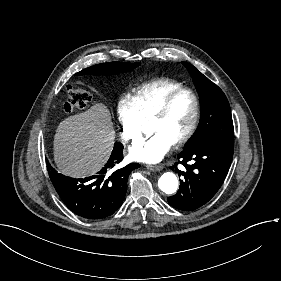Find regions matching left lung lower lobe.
<instances>
[{"label": "left lung lower lobe", "instance_id": "left-lung-lower-lobe-1", "mask_svg": "<svg viewBox=\"0 0 281 281\" xmlns=\"http://www.w3.org/2000/svg\"><path fill=\"white\" fill-rule=\"evenodd\" d=\"M233 157V149L202 142L184 148L178 155L179 163L186 168L182 172L180 189L168 197L169 204L179 210L192 211L206 204L219 190L228 173ZM178 163L172 167L177 169Z\"/></svg>", "mask_w": 281, "mask_h": 281}]
</instances>
